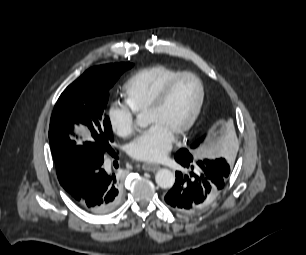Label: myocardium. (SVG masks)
Masks as SVG:
<instances>
[{
    "mask_svg": "<svg viewBox=\"0 0 306 255\" xmlns=\"http://www.w3.org/2000/svg\"><path fill=\"white\" fill-rule=\"evenodd\" d=\"M192 77L194 78L199 85L200 88V95H199V99L197 102V105L194 109V112L192 113L191 117L189 118V120L175 133L176 137H180L183 136L186 132H188L193 126L194 124L197 122L203 105H204V101H205V87H204V83L201 80V78L190 71H182L180 73H178L177 75H175L174 77H172L164 86L163 88L158 92V94L155 96V98L152 100V102L150 103V105L148 106V108L146 109V112H153L157 109H159L164 102L166 101V99L168 98L170 92L172 91L174 85L182 78L184 77Z\"/></svg>",
    "mask_w": 306,
    "mask_h": 255,
    "instance_id": "f54148a6",
    "label": "myocardium"
}]
</instances>
